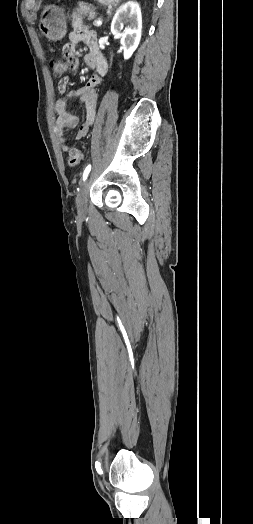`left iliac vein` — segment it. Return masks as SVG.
I'll use <instances>...</instances> for the list:
<instances>
[{"label":"left iliac vein","instance_id":"left-iliac-vein-1","mask_svg":"<svg viewBox=\"0 0 253 524\" xmlns=\"http://www.w3.org/2000/svg\"><path fill=\"white\" fill-rule=\"evenodd\" d=\"M89 188H90V180L89 178H87L81 185L80 191L76 198V206H77L78 213L80 215H84L87 213V202H88L87 196H88Z\"/></svg>","mask_w":253,"mask_h":524}]
</instances>
